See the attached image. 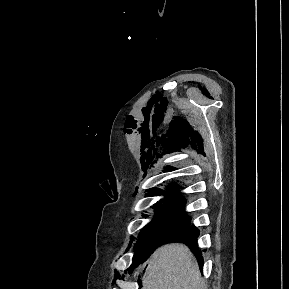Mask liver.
Listing matches in <instances>:
<instances>
[{"label": "liver", "instance_id": "liver-1", "mask_svg": "<svg viewBox=\"0 0 289 289\" xmlns=\"http://www.w3.org/2000/svg\"><path fill=\"white\" fill-rule=\"evenodd\" d=\"M142 289H204L199 266L183 244L158 248L148 260Z\"/></svg>", "mask_w": 289, "mask_h": 289}]
</instances>
